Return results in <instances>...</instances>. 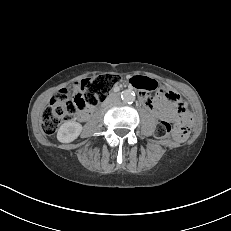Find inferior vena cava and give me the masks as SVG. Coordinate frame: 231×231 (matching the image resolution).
Listing matches in <instances>:
<instances>
[{
    "instance_id": "inferior-vena-cava-1",
    "label": "inferior vena cava",
    "mask_w": 231,
    "mask_h": 231,
    "mask_svg": "<svg viewBox=\"0 0 231 231\" xmlns=\"http://www.w3.org/2000/svg\"><path fill=\"white\" fill-rule=\"evenodd\" d=\"M117 100H118V96L116 94H111L107 99V103L110 104V103H113Z\"/></svg>"
}]
</instances>
